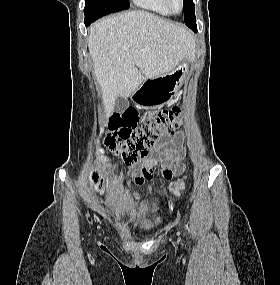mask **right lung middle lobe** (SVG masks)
<instances>
[{
    "instance_id": "dd1d6c3e",
    "label": "right lung middle lobe",
    "mask_w": 280,
    "mask_h": 285,
    "mask_svg": "<svg viewBox=\"0 0 280 285\" xmlns=\"http://www.w3.org/2000/svg\"><path fill=\"white\" fill-rule=\"evenodd\" d=\"M128 8V0H86L84 8V20L92 23L106 14Z\"/></svg>"
}]
</instances>
